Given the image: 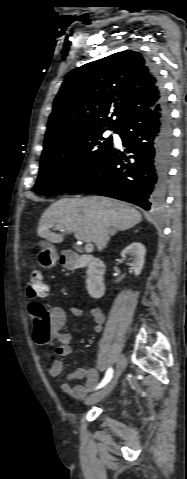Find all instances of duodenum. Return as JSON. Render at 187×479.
Wrapping results in <instances>:
<instances>
[{
    "label": "duodenum",
    "instance_id": "410a0bca",
    "mask_svg": "<svg viewBox=\"0 0 187 479\" xmlns=\"http://www.w3.org/2000/svg\"><path fill=\"white\" fill-rule=\"evenodd\" d=\"M63 264L70 269L87 268L86 288L88 294L93 297H101L104 289L105 267L102 261L90 257H78L70 254L63 255Z\"/></svg>",
    "mask_w": 187,
    "mask_h": 479
}]
</instances>
